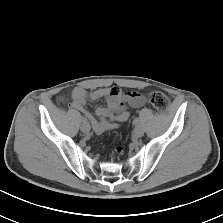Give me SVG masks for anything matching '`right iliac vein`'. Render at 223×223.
I'll return each instance as SVG.
<instances>
[{
  "mask_svg": "<svg viewBox=\"0 0 223 223\" xmlns=\"http://www.w3.org/2000/svg\"><path fill=\"white\" fill-rule=\"evenodd\" d=\"M80 129L83 133H88L90 131V125L86 122H83Z\"/></svg>",
  "mask_w": 223,
  "mask_h": 223,
  "instance_id": "63e3f726",
  "label": "right iliac vein"
}]
</instances>
